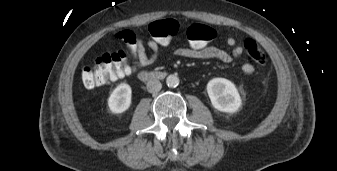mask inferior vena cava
I'll return each instance as SVG.
<instances>
[{"instance_id":"1","label":"inferior vena cava","mask_w":337,"mask_h":171,"mask_svg":"<svg viewBox=\"0 0 337 171\" xmlns=\"http://www.w3.org/2000/svg\"><path fill=\"white\" fill-rule=\"evenodd\" d=\"M161 88H162V84L157 79L149 80L147 83V90L150 93H157L161 90Z\"/></svg>"}]
</instances>
